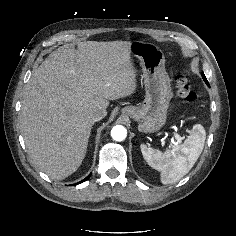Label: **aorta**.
<instances>
[{
  "label": "aorta",
  "mask_w": 236,
  "mask_h": 236,
  "mask_svg": "<svg viewBox=\"0 0 236 236\" xmlns=\"http://www.w3.org/2000/svg\"><path fill=\"white\" fill-rule=\"evenodd\" d=\"M127 136V130L122 125L114 126L111 130V137L115 141H123Z\"/></svg>",
  "instance_id": "1"
}]
</instances>
